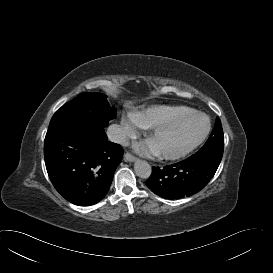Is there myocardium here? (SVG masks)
I'll list each match as a JSON object with an SVG mask.
<instances>
[{
    "mask_svg": "<svg viewBox=\"0 0 273 273\" xmlns=\"http://www.w3.org/2000/svg\"><path fill=\"white\" fill-rule=\"evenodd\" d=\"M192 117H202L206 120V128H205L204 132L194 143H192L191 145H189L185 149L178 151V152H163V151H159V150L155 149V147L152 144V138L154 137V135H156L157 133H159L161 131L173 128ZM210 129H211V122H210L209 117L205 113L199 112V111H190V112L183 114L182 116L176 118L175 120H173L169 123L154 127L146 135L145 141H146L147 145L152 149V151L157 156L164 158V159H176V158H179V157H182V156L188 154L193 149H195L197 146H199L208 136Z\"/></svg>",
    "mask_w": 273,
    "mask_h": 273,
    "instance_id": "1",
    "label": "myocardium"
}]
</instances>
